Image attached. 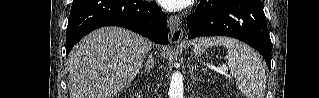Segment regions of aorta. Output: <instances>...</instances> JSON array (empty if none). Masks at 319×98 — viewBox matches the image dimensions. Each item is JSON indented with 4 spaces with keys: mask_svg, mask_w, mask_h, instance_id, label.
I'll list each match as a JSON object with an SVG mask.
<instances>
[{
    "mask_svg": "<svg viewBox=\"0 0 319 98\" xmlns=\"http://www.w3.org/2000/svg\"><path fill=\"white\" fill-rule=\"evenodd\" d=\"M183 80L179 72H174L171 76L169 97L170 98H183Z\"/></svg>",
    "mask_w": 319,
    "mask_h": 98,
    "instance_id": "1",
    "label": "aorta"
}]
</instances>
